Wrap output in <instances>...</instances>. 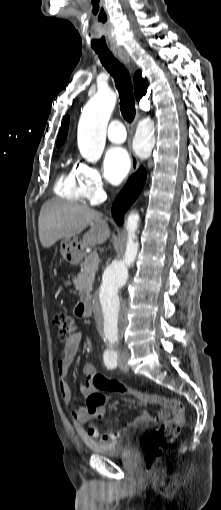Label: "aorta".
Instances as JSON below:
<instances>
[{
  "instance_id": "762f6f07",
  "label": "aorta",
  "mask_w": 221,
  "mask_h": 510,
  "mask_svg": "<svg viewBox=\"0 0 221 510\" xmlns=\"http://www.w3.org/2000/svg\"><path fill=\"white\" fill-rule=\"evenodd\" d=\"M116 104V95L109 88H103L87 102L78 124V148L89 162H97L104 150L106 129ZM154 122L142 120L136 129L133 148L140 158H148L154 147ZM139 215L131 212L126 221L128 233L126 250L122 258L114 260L103 272L101 283L94 294V314L104 340L117 345L127 324V312L121 290L128 279V267L135 261L138 252L136 231Z\"/></svg>"
}]
</instances>
